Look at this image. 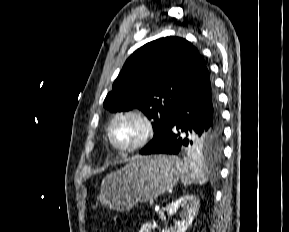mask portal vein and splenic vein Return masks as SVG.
<instances>
[{"mask_svg":"<svg viewBox=\"0 0 289 232\" xmlns=\"http://www.w3.org/2000/svg\"><path fill=\"white\" fill-rule=\"evenodd\" d=\"M149 203H150L151 206H154V205H155V201H154V200H150Z\"/></svg>","mask_w":289,"mask_h":232,"instance_id":"obj_1","label":"portal vein and splenic vein"}]
</instances>
